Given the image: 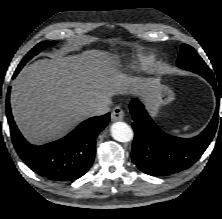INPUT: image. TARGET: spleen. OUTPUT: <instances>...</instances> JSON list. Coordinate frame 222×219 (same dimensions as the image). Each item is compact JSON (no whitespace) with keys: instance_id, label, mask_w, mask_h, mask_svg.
Returning a JSON list of instances; mask_svg holds the SVG:
<instances>
[{"instance_id":"spleen-1","label":"spleen","mask_w":222,"mask_h":219,"mask_svg":"<svg viewBox=\"0 0 222 219\" xmlns=\"http://www.w3.org/2000/svg\"><path fill=\"white\" fill-rule=\"evenodd\" d=\"M186 128H187V127H186ZM186 128H185V129H186ZM177 132H178L177 130L173 131V133H177Z\"/></svg>"}]
</instances>
